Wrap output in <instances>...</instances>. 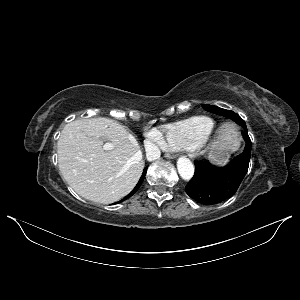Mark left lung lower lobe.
Segmentation results:
<instances>
[{
  "instance_id": "1",
  "label": "left lung lower lobe",
  "mask_w": 300,
  "mask_h": 300,
  "mask_svg": "<svg viewBox=\"0 0 300 300\" xmlns=\"http://www.w3.org/2000/svg\"><path fill=\"white\" fill-rule=\"evenodd\" d=\"M242 135L246 141L245 149L229 165L217 167L208 160L195 162L194 176L185 187L192 199L203 205H214L235 194L248 171L251 154L247 129Z\"/></svg>"
}]
</instances>
